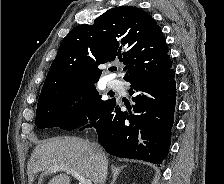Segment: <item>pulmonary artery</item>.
Masks as SVG:
<instances>
[{
	"instance_id": "pulmonary-artery-1",
	"label": "pulmonary artery",
	"mask_w": 224,
	"mask_h": 184,
	"mask_svg": "<svg viewBox=\"0 0 224 184\" xmlns=\"http://www.w3.org/2000/svg\"><path fill=\"white\" fill-rule=\"evenodd\" d=\"M108 86H109V88H111L113 90H121L123 87L122 83L117 79L109 80Z\"/></svg>"
}]
</instances>
